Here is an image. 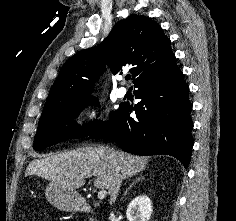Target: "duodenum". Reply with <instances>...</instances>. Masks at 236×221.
I'll return each mask as SVG.
<instances>
[{
	"instance_id": "410a0bca",
	"label": "duodenum",
	"mask_w": 236,
	"mask_h": 221,
	"mask_svg": "<svg viewBox=\"0 0 236 221\" xmlns=\"http://www.w3.org/2000/svg\"><path fill=\"white\" fill-rule=\"evenodd\" d=\"M78 211L89 214L91 216V221H96V218L94 216V209L89 202H82L78 206Z\"/></svg>"
}]
</instances>
